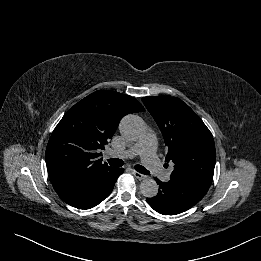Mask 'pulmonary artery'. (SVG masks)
<instances>
[{
	"mask_svg": "<svg viewBox=\"0 0 261 261\" xmlns=\"http://www.w3.org/2000/svg\"><path fill=\"white\" fill-rule=\"evenodd\" d=\"M139 155L144 165L161 180L168 182L170 180V171L163 169L156 154V137L153 134H147L142 137L134 146L121 153H109V156L119 158H133Z\"/></svg>",
	"mask_w": 261,
	"mask_h": 261,
	"instance_id": "pulmonary-artery-1",
	"label": "pulmonary artery"
}]
</instances>
